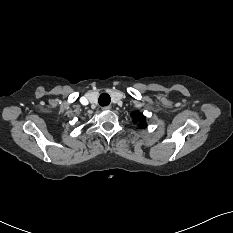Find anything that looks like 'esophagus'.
<instances>
[{
    "mask_svg": "<svg viewBox=\"0 0 233 233\" xmlns=\"http://www.w3.org/2000/svg\"><path fill=\"white\" fill-rule=\"evenodd\" d=\"M110 109H111L110 105L102 107V110H110Z\"/></svg>",
    "mask_w": 233,
    "mask_h": 233,
    "instance_id": "esophagus-1",
    "label": "esophagus"
}]
</instances>
